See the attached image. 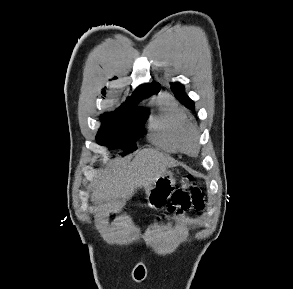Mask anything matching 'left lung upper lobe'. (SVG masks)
<instances>
[{
	"mask_svg": "<svg viewBox=\"0 0 293 289\" xmlns=\"http://www.w3.org/2000/svg\"><path fill=\"white\" fill-rule=\"evenodd\" d=\"M171 89L177 99L189 109H194V102L185 94L184 87L180 83H171Z\"/></svg>",
	"mask_w": 293,
	"mask_h": 289,
	"instance_id": "left-lung-upper-lobe-1",
	"label": "left lung upper lobe"
}]
</instances>
